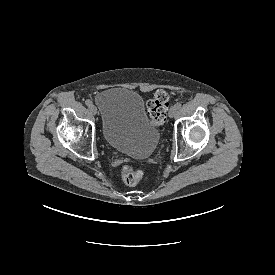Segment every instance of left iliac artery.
<instances>
[{"mask_svg": "<svg viewBox=\"0 0 275 275\" xmlns=\"http://www.w3.org/2000/svg\"><path fill=\"white\" fill-rule=\"evenodd\" d=\"M174 107H175L176 109H179V108L181 107V104H180V103H176V104L174 105Z\"/></svg>", "mask_w": 275, "mask_h": 275, "instance_id": "left-iliac-artery-1", "label": "left iliac artery"}]
</instances>
